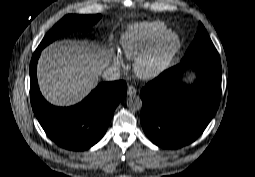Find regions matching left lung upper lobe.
<instances>
[{"instance_id": "1", "label": "left lung upper lobe", "mask_w": 255, "mask_h": 177, "mask_svg": "<svg viewBox=\"0 0 255 177\" xmlns=\"http://www.w3.org/2000/svg\"><path fill=\"white\" fill-rule=\"evenodd\" d=\"M200 56H219L202 23H199L195 39L185 53L184 59Z\"/></svg>"}]
</instances>
